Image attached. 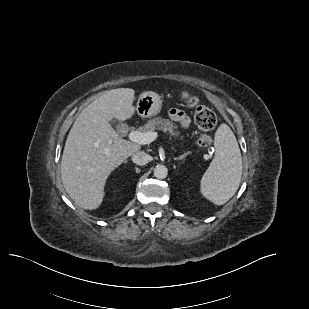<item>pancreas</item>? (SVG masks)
<instances>
[{"mask_svg": "<svg viewBox=\"0 0 309 309\" xmlns=\"http://www.w3.org/2000/svg\"><path fill=\"white\" fill-rule=\"evenodd\" d=\"M162 130L170 136L178 137L180 134L178 131H175L176 126H174L173 122L168 119H163L161 117H156L154 119H150L143 127H141L142 132H153L154 130ZM183 140V137L180 138Z\"/></svg>", "mask_w": 309, "mask_h": 309, "instance_id": "1", "label": "pancreas"}]
</instances>
